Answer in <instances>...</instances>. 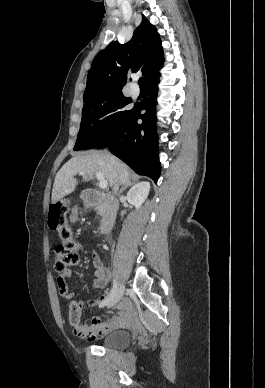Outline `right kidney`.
Listing matches in <instances>:
<instances>
[{
  "mask_svg": "<svg viewBox=\"0 0 265 388\" xmlns=\"http://www.w3.org/2000/svg\"><path fill=\"white\" fill-rule=\"evenodd\" d=\"M149 190V182H139V184H135L127 194L129 204H132V206H135L136 210H139L146 198H148Z\"/></svg>",
  "mask_w": 265,
  "mask_h": 388,
  "instance_id": "right-kidney-1",
  "label": "right kidney"
}]
</instances>
